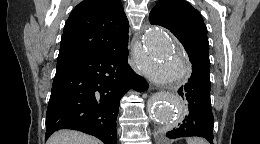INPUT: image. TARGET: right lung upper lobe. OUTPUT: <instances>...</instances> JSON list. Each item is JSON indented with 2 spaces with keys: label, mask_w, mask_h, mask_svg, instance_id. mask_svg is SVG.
I'll list each match as a JSON object with an SVG mask.
<instances>
[{
  "label": "right lung upper lobe",
  "mask_w": 260,
  "mask_h": 144,
  "mask_svg": "<svg viewBox=\"0 0 260 144\" xmlns=\"http://www.w3.org/2000/svg\"><path fill=\"white\" fill-rule=\"evenodd\" d=\"M128 30L120 0H84L66 21L57 65L123 48Z\"/></svg>",
  "instance_id": "right-lung-upper-lobe-1"
}]
</instances>
